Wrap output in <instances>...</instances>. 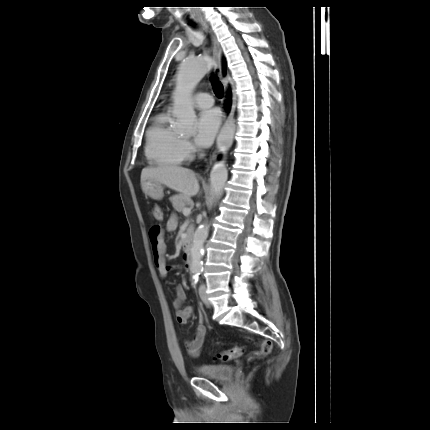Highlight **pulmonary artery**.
Wrapping results in <instances>:
<instances>
[{
	"mask_svg": "<svg viewBox=\"0 0 430 430\" xmlns=\"http://www.w3.org/2000/svg\"><path fill=\"white\" fill-rule=\"evenodd\" d=\"M194 101L196 107L200 109L210 108L214 104L212 96L204 92L196 94Z\"/></svg>",
	"mask_w": 430,
	"mask_h": 430,
	"instance_id": "1",
	"label": "pulmonary artery"
}]
</instances>
